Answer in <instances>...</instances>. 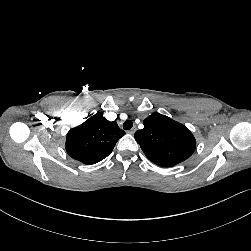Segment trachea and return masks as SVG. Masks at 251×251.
Listing matches in <instances>:
<instances>
[{
  "mask_svg": "<svg viewBox=\"0 0 251 251\" xmlns=\"http://www.w3.org/2000/svg\"><path fill=\"white\" fill-rule=\"evenodd\" d=\"M133 127V122L131 120H127L123 123V128L125 130H130Z\"/></svg>",
  "mask_w": 251,
  "mask_h": 251,
  "instance_id": "obj_1",
  "label": "trachea"
}]
</instances>
